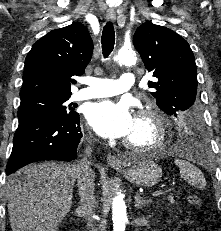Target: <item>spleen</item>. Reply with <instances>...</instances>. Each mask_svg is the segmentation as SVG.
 Here are the masks:
<instances>
[{"mask_svg":"<svg viewBox=\"0 0 221 231\" xmlns=\"http://www.w3.org/2000/svg\"><path fill=\"white\" fill-rule=\"evenodd\" d=\"M174 164L180 168L181 177L192 186L203 189L206 186V180L202 172L193 164L186 160L177 159Z\"/></svg>","mask_w":221,"mask_h":231,"instance_id":"spleen-1","label":"spleen"}]
</instances>
